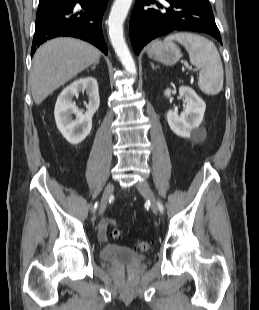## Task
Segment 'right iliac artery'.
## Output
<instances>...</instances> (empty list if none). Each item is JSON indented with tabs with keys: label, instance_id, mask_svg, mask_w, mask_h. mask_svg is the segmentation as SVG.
Listing matches in <instances>:
<instances>
[{
	"label": "right iliac artery",
	"instance_id": "82829eb1",
	"mask_svg": "<svg viewBox=\"0 0 259 310\" xmlns=\"http://www.w3.org/2000/svg\"><path fill=\"white\" fill-rule=\"evenodd\" d=\"M97 208V203L95 204V206H94V210Z\"/></svg>",
	"mask_w": 259,
	"mask_h": 310
}]
</instances>
